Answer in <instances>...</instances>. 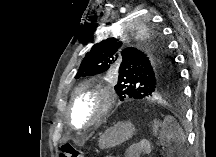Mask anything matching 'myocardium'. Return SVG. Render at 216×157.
<instances>
[{"instance_id": "1", "label": "myocardium", "mask_w": 216, "mask_h": 157, "mask_svg": "<svg viewBox=\"0 0 216 157\" xmlns=\"http://www.w3.org/2000/svg\"><path fill=\"white\" fill-rule=\"evenodd\" d=\"M94 94L98 99V107L95 111L94 116L84 125L77 126L73 120V110L79 97L84 94ZM116 102V97L108 86L100 83L88 81L75 87L70 96V102L68 107V114L72 117L73 122L70 123L77 129H86L94 126L95 124L102 121L108 113L112 110Z\"/></svg>"}]
</instances>
